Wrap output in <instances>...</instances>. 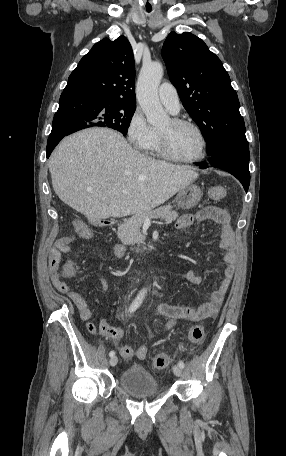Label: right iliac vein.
<instances>
[{"mask_svg": "<svg viewBox=\"0 0 286 456\" xmlns=\"http://www.w3.org/2000/svg\"><path fill=\"white\" fill-rule=\"evenodd\" d=\"M117 362H118V358L116 356L111 357V359L109 361L110 366H112V367L115 366L117 364Z\"/></svg>", "mask_w": 286, "mask_h": 456, "instance_id": "63e3f726", "label": "right iliac vein"}]
</instances>
